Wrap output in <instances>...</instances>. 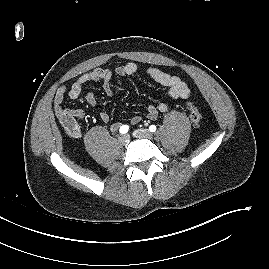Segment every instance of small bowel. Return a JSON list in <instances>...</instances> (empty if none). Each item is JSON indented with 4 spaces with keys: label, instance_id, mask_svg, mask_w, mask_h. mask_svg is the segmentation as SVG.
I'll list each match as a JSON object with an SVG mask.
<instances>
[{
    "label": "small bowel",
    "instance_id": "1",
    "mask_svg": "<svg viewBox=\"0 0 269 269\" xmlns=\"http://www.w3.org/2000/svg\"><path fill=\"white\" fill-rule=\"evenodd\" d=\"M138 66L133 62H129L124 65L116 67L113 71L109 69L96 68L88 73H85L78 77L69 88L61 86L56 91L54 96V112L57 118L60 120L69 136L73 138H80L82 136V130L77 123V119H82L85 116L83 109H67L63 106L66 95L70 99H77L84 87L88 82H100L103 89L108 96L113 95L111 80L113 74L118 76H134L138 73ZM146 74L156 83L163 86L170 98L174 100H186L190 96V89L187 84L177 76L170 75L161 71L155 67H149L146 69ZM86 101L90 106L96 105V96L93 92L86 94ZM168 110V104L160 102L157 105H150L147 110V116L149 119H155L160 113H165ZM100 119L107 123L110 120V116L107 112L102 111L99 113ZM141 117L135 115L131 118V124H137L140 122ZM121 127V124L115 122L111 124V131L115 132Z\"/></svg>",
    "mask_w": 269,
    "mask_h": 269
}]
</instances>
